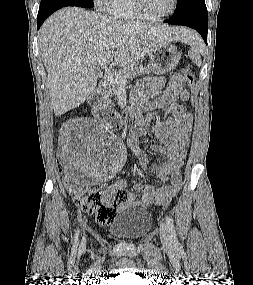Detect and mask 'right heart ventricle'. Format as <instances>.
<instances>
[{
	"mask_svg": "<svg viewBox=\"0 0 253 285\" xmlns=\"http://www.w3.org/2000/svg\"><path fill=\"white\" fill-rule=\"evenodd\" d=\"M106 9L114 19L136 20L140 18L134 8L133 0H110Z\"/></svg>",
	"mask_w": 253,
	"mask_h": 285,
	"instance_id": "obj_1",
	"label": "right heart ventricle"
}]
</instances>
